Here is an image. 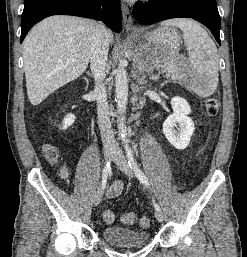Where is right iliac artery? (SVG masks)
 I'll return each instance as SVG.
<instances>
[{
	"label": "right iliac artery",
	"instance_id": "82829eb1",
	"mask_svg": "<svg viewBox=\"0 0 247 257\" xmlns=\"http://www.w3.org/2000/svg\"><path fill=\"white\" fill-rule=\"evenodd\" d=\"M110 162H107L104 170H103V174H102V189L106 188V183H107V176H108V172L110 171Z\"/></svg>",
	"mask_w": 247,
	"mask_h": 257
}]
</instances>
